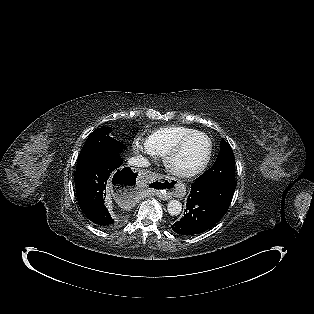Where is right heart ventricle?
<instances>
[{
	"instance_id": "obj_1",
	"label": "right heart ventricle",
	"mask_w": 314,
	"mask_h": 314,
	"mask_svg": "<svg viewBox=\"0 0 314 314\" xmlns=\"http://www.w3.org/2000/svg\"><path fill=\"white\" fill-rule=\"evenodd\" d=\"M195 131L197 130L186 126L163 127L151 132L146 142L156 156H165L181 138Z\"/></svg>"
}]
</instances>
